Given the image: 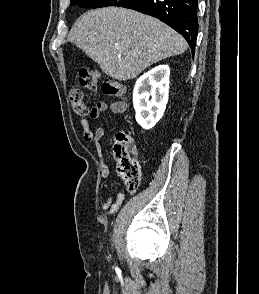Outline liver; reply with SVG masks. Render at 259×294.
I'll use <instances>...</instances> for the list:
<instances>
[{"label": "liver", "mask_w": 259, "mask_h": 294, "mask_svg": "<svg viewBox=\"0 0 259 294\" xmlns=\"http://www.w3.org/2000/svg\"><path fill=\"white\" fill-rule=\"evenodd\" d=\"M68 40L119 81L136 78L150 65L187 49L185 39L165 23L121 7L84 13Z\"/></svg>", "instance_id": "obj_1"}]
</instances>
